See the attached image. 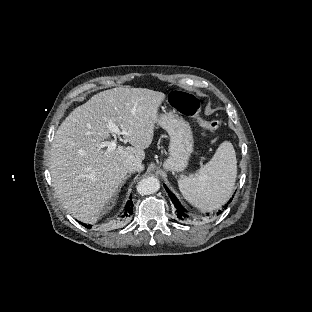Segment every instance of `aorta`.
I'll return each mask as SVG.
<instances>
[{
  "label": "aorta",
  "instance_id": "aorta-1",
  "mask_svg": "<svg viewBox=\"0 0 312 312\" xmlns=\"http://www.w3.org/2000/svg\"><path fill=\"white\" fill-rule=\"evenodd\" d=\"M136 193L141 196L154 194L159 189V181L154 177H146L136 185Z\"/></svg>",
  "mask_w": 312,
  "mask_h": 312
}]
</instances>
